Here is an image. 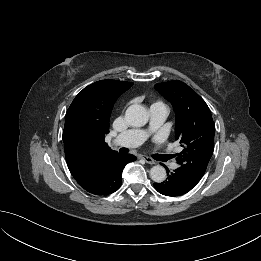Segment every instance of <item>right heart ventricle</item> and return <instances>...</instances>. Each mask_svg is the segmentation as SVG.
Returning <instances> with one entry per match:
<instances>
[{"mask_svg": "<svg viewBox=\"0 0 261 261\" xmlns=\"http://www.w3.org/2000/svg\"><path fill=\"white\" fill-rule=\"evenodd\" d=\"M154 107H164L166 108V105L162 102V101H156L154 102L150 108H154Z\"/></svg>", "mask_w": 261, "mask_h": 261, "instance_id": "1", "label": "right heart ventricle"}]
</instances>
